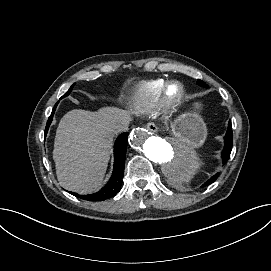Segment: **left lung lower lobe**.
Segmentation results:
<instances>
[{"instance_id": "1", "label": "left lung lower lobe", "mask_w": 271, "mask_h": 271, "mask_svg": "<svg viewBox=\"0 0 271 271\" xmlns=\"http://www.w3.org/2000/svg\"><path fill=\"white\" fill-rule=\"evenodd\" d=\"M224 139H225V146L222 151V159H223V163L225 164L230 157V153H231L232 145H233L231 120L229 121L228 130H227V133H226ZM218 176H219L218 173L215 174L206 183H204L203 186H207V185L213 183L218 178Z\"/></svg>"}]
</instances>
